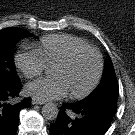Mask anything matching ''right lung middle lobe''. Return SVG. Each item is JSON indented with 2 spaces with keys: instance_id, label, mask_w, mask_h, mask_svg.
I'll use <instances>...</instances> for the list:
<instances>
[{
  "instance_id": "dd1d6c3e",
  "label": "right lung middle lobe",
  "mask_w": 135,
  "mask_h": 135,
  "mask_svg": "<svg viewBox=\"0 0 135 135\" xmlns=\"http://www.w3.org/2000/svg\"><path fill=\"white\" fill-rule=\"evenodd\" d=\"M31 33L19 28H7L0 31V87L11 86L20 82L16 74L13 50L16 43Z\"/></svg>"
}]
</instances>
